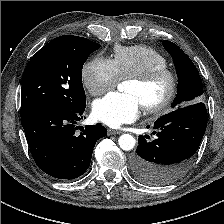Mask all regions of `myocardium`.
Masks as SVG:
<instances>
[{
    "label": "myocardium",
    "mask_w": 224,
    "mask_h": 224,
    "mask_svg": "<svg viewBox=\"0 0 224 224\" xmlns=\"http://www.w3.org/2000/svg\"><path fill=\"white\" fill-rule=\"evenodd\" d=\"M163 77L167 79V90L161 99L143 105L144 111L147 113L161 112L169 107L174 101L178 91V76L176 72L173 69L164 66L151 69L143 74L129 78V81L148 85Z\"/></svg>",
    "instance_id": "1"
}]
</instances>
